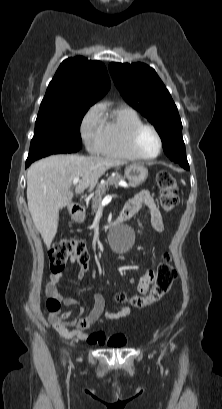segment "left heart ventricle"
Listing matches in <instances>:
<instances>
[{
	"instance_id": "1",
	"label": "left heart ventricle",
	"mask_w": 222,
	"mask_h": 409,
	"mask_svg": "<svg viewBox=\"0 0 222 409\" xmlns=\"http://www.w3.org/2000/svg\"><path fill=\"white\" fill-rule=\"evenodd\" d=\"M140 151L146 156H153L158 152L159 144L156 135L151 130H144L138 139Z\"/></svg>"
}]
</instances>
